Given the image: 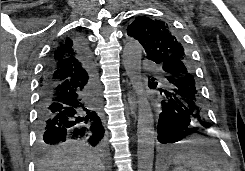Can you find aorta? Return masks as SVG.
Wrapping results in <instances>:
<instances>
[{
	"label": "aorta",
	"mask_w": 245,
	"mask_h": 171,
	"mask_svg": "<svg viewBox=\"0 0 245 171\" xmlns=\"http://www.w3.org/2000/svg\"><path fill=\"white\" fill-rule=\"evenodd\" d=\"M142 46L137 41L128 42L123 51V64L127 75L134 87L138 90L139 116H138V171H152L154 159V119L149 103L142 95L143 87L141 76Z\"/></svg>",
	"instance_id": "aorta-1"
}]
</instances>
